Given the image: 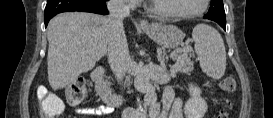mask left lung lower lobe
Listing matches in <instances>:
<instances>
[{
  "instance_id": "obj_1",
  "label": "left lung lower lobe",
  "mask_w": 273,
  "mask_h": 118,
  "mask_svg": "<svg viewBox=\"0 0 273 118\" xmlns=\"http://www.w3.org/2000/svg\"><path fill=\"white\" fill-rule=\"evenodd\" d=\"M219 24L224 30H226V23H219Z\"/></svg>"
}]
</instances>
